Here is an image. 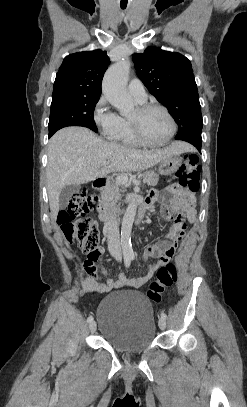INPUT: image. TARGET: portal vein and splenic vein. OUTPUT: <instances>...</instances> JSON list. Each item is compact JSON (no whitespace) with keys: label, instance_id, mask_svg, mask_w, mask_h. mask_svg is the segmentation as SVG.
<instances>
[{"label":"portal vein and splenic vein","instance_id":"1","mask_svg":"<svg viewBox=\"0 0 247 407\" xmlns=\"http://www.w3.org/2000/svg\"><path fill=\"white\" fill-rule=\"evenodd\" d=\"M107 164H108V162H103L102 163V165H104V166L107 165ZM116 181L119 182V183H122V184H126L128 182V177L120 175V176L116 177ZM143 182L146 183L147 179L144 178Z\"/></svg>","mask_w":247,"mask_h":407}]
</instances>
